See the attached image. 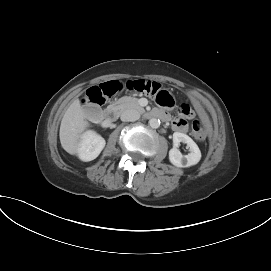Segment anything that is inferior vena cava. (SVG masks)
<instances>
[{"instance_id": "602c4592", "label": "inferior vena cava", "mask_w": 271, "mask_h": 271, "mask_svg": "<svg viewBox=\"0 0 271 271\" xmlns=\"http://www.w3.org/2000/svg\"><path fill=\"white\" fill-rule=\"evenodd\" d=\"M140 118V113L134 109H128L122 112L120 119L124 122L136 121Z\"/></svg>"}]
</instances>
